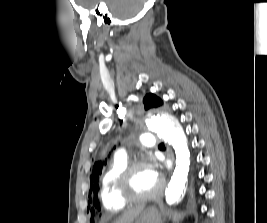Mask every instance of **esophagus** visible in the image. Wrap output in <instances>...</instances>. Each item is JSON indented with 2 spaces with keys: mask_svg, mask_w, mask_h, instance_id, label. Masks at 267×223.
I'll return each mask as SVG.
<instances>
[{
  "mask_svg": "<svg viewBox=\"0 0 267 223\" xmlns=\"http://www.w3.org/2000/svg\"><path fill=\"white\" fill-rule=\"evenodd\" d=\"M169 157H170V159H171L172 161H174V156H173L172 153L169 154Z\"/></svg>",
  "mask_w": 267,
  "mask_h": 223,
  "instance_id": "obj_1",
  "label": "esophagus"
}]
</instances>
